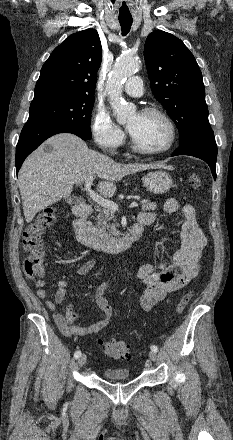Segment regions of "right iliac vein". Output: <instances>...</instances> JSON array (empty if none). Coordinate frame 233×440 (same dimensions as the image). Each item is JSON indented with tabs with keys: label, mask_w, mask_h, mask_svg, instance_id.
Segmentation results:
<instances>
[{
	"label": "right iliac vein",
	"mask_w": 233,
	"mask_h": 440,
	"mask_svg": "<svg viewBox=\"0 0 233 440\" xmlns=\"http://www.w3.org/2000/svg\"><path fill=\"white\" fill-rule=\"evenodd\" d=\"M87 357L85 354L80 355L78 358V366L82 367L86 363Z\"/></svg>",
	"instance_id": "63e3f726"
}]
</instances>
